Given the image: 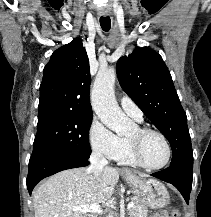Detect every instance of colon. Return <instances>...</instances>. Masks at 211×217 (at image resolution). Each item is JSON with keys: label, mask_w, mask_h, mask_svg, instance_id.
<instances>
[{"label": "colon", "mask_w": 211, "mask_h": 217, "mask_svg": "<svg viewBox=\"0 0 211 217\" xmlns=\"http://www.w3.org/2000/svg\"><path fill=\"white\" fill-rule=\"evenodd\" d=\"M156 217H179V213L176 210L173 211H161L155 214Z\"/></svg>", "instance_id": "colon-1"}]
</instances>
